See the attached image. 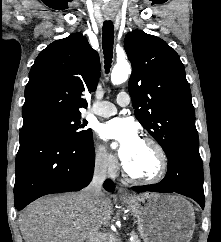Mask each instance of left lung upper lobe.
<instances>
[{
    "instance_id": "1",
    "label": "left lung upper lobe",
    "mask_w": 221,
    "mask_h": 242,
    "mask_svg": "<svg viewBox=\"0 0 221 242\" xmlns=\"http://www.w3.org/2000/svg\"><path fill=\"white\" fill-rule=\"evenodd\" d=\"M132 64L129 93L141 125L166 156L179 146L199 147L189 83L179 55L159 37L141 30L126 35Z\"/></svg>"
}]
</instances>
